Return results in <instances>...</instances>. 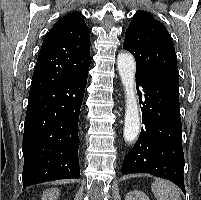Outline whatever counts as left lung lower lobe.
I'll use <instances>...</instances> for the list:
<instances>
[{
	"mask_svg": "<svg viewBox=\"0 0 201 200\" xmlns=\"http://www.w3.org/2000/svg\"><path fill=\"white\" fill-rule=\"evenodd\" d=\"M142 107L140 136L124 157L122 175L149 173L175 183L185 192L184 154L178 76L136 73Z\"/></svg>",
	"mask_w": 201,
	"mask_h": 200,
	"instance_id": "1",
	"label": "left lung lower lobe"
}]
</instances>
